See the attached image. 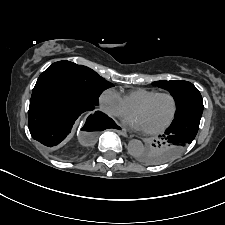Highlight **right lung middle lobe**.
Returning a JSON list of instances; mask_svg holds the SVG:
<instances>
[{"label":"right lung middle lobe","mask_w":225,"mask_h":225,"mask_svg":"<svg viewBox=\"0 0 225 225\" xmlns=\"http://www.w3.org/2000/svg\"><path fill=\"white\" fill-rule=\"evenodd\" d=\"M42 74H55L70 80L86 94L90 102L96 105L99 104L100 94L113 86L92 69L70 61L55 62Z\"/></svg>","instance_id":"1"}]
</instances>
